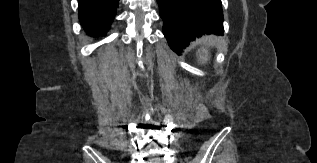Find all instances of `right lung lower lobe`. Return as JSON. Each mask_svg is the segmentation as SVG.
Here are the masks:
<instances>
[{
  "label": "right lung lower lobe",
  "mask_w": 317,
  "mask_h": 163,
  "mask_svg": "<svg viewBox=\"0 0 317 163\" xmlns=\"http://www.w3.org/2000/svg\"><path fill=\"white\" fill-rule=\"evenodd\" d=\"M79 19L91 36L105 35L116 15L118 0H78Z\"/></svg>",
  "instance_id": "98d812e1"
}]
</instances>
